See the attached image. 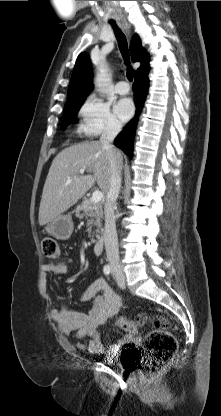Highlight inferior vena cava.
<instances>
[{"instance_id":"obj_1","label":"inferior vena cava","mask_w":221,"mask_h":416,"mask_svg":"<svg viewBox=\"0 0 221 416\" xmlns=\"http://www.w3.org/2000/svg\"><path fill=\"white\" fill-rule=\"evenodd\" d=\"M120 131L121 125L118 122L111 121L107 124L100 137V142L107 151L112 172L104 206L105 227L103 239L107 260L110 264L111 271L114 273L121 272L122 270L114 214L116 200L121 187V165L119 163V152L112 144Z\"/></svg>"}]
</instances>
